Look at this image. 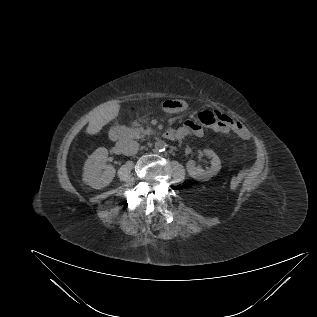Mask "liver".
Instances as JSON below:
<instances>
[{"mask_svg": "<svg viewBox=\"0 0 317 317\" xmlns=\"http://www.w3.org/2000/svg\"><path fill=\"white\" fill-rule=\"evenodd\" d=\"M120 105L116 100L107 101L88 114V126L86 133L93 135L98 132L110 121L118 116Z\"/></svg>", "mask_w": 317, "mask_h": 317, "instance_id": "obj_1", "label": "liver"}]
</instances>
